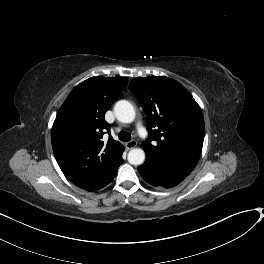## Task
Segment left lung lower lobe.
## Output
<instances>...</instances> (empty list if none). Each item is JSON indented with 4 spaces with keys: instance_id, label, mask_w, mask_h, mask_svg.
Listing matches in <instances>:
<instances>
[{
    "instance_id": "0a47b994",
    "label": "left lung lower lobe",
    "mask_w": 264,
    "mask_h": 264,
    "mask_svg": "<svg viewBox=\"0 0 264 264\" xmlns=\"http://www.w3.org/2000/svg\"><path fill=\"white\" fill-rule=\"evenodd\" d=\"M142 178L155 187H173L182 182L188 175L161 169L154 164L145 161L138 167Z\"/></svg>"
}]
</instances>
